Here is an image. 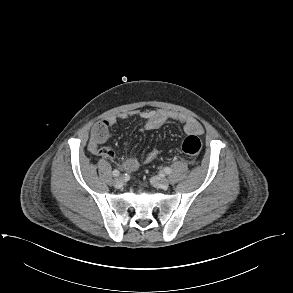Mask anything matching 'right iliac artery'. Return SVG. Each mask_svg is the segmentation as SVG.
Masks as SVG:
<instances>
[{
  "mask_svg": "<svg viewBox=\"0 0 293 293\" xmlns=\"http://www.w3.org/2000/svg\"><path fill=\"white\" fill-rule=\"evenodd\" d=\"M119 174H120V172L116 169L112 172L113 176H119Z\"/></svg>",
  "mask_w": 293,
  "mask_h": 293,
  "instance_id": "82829eb1",
  "label": "right iliac artery"
}]
</instances>
